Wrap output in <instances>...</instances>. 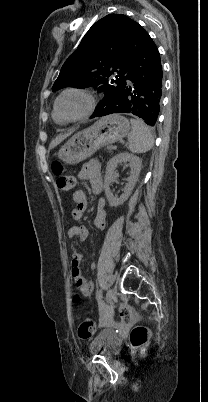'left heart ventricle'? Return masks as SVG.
Masks as SVG:
<instances>
[{
  "mask_svg": "<svg viewBox=\"0 0 208 402\" xmlns=\"http://www.w3.org/2000/svg\"><path fill=\"white\" fill-rule=\"evenodd\" d=\"M90 106V98L85 94L70 92L58 103V111L65 118H73L85 113Z\"/></svg>",
  "mask_w": 208,
  "mask_h": 402,
  "instance_id": "obj_1",
  "label": "left heart ventricle"
}]
</instances>
